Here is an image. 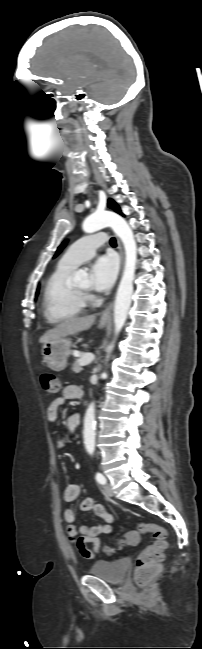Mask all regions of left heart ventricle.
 Returning <instances> with one entry per match:
<instances>
[{
  "instance_id": "obj_1",
  "label": "left heart ventricle",
  "mask_w": 202,
  "mask_h": 649,
  "mask_svg": "<svg viewBox=\"0 0 202 649\" xmlns=\"http://www.w3.org/2000/svg\"><path fill=\"white\" fill-rule=\"evenodd\" d=\"M90 285H91V284H90L89 280H85V281H83V282H81V283H78V284L76 285V287H77L78 289H80V290L88 291V289L90 288Z\"/></svg>"
}]
</instances>
